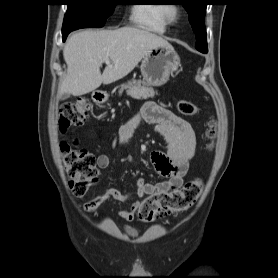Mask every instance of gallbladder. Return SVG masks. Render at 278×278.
I'll list each match as a JSON object with an SVG mask.
<instances>
[{
    "label": "gallbladder",
    "instance_id": "obj_1",
    "mask_svg": "<svg viewBox=\"0 0 278 278\" xmlns=\"http://www.w3.org/2000/svg\"><path fill=\"white\" fill-rule=\"evenodd\" d=\"M69 97H70V95H69L68 93H64V94L61 95L60 98H61L62 100H65V99H67V98H69Z\"/></svg>",
    "mask_w": 278,
    "mask_h": 278
}]
</instances>
